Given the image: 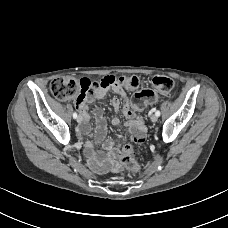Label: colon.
<instances>
[{
	"instance_id": "1",
	"label": "colon",
	"mask_w": 228,
	"mask_h": 228,
	"mask_svg": "<svg viewBox=\"0 0 228 228\" xmlns=\"http://www.w3.org/2000/svg\"><path fill=\"white\" fill-rule=\"evenodd\" d=\"M140 83L137 77H114L106 76L99 81H91L88 78H82L76 80L73 78H56L50 83L51 93L60 100H66L69 98H78L85 94H94L100 90H106L114 85H123L126 88H135ZM152 84L155 88L143 89L134 94L131 99V107L134 110H143L147 105L154 103L158 99L156 91L160 93H169L174 88V81L163 75L155 76L152 79ZM134 149L133 146L127 144L123 147L119 161L123 168L126 170L137 173L140 169L138 162L133 158Z\"/></svg>"
}]
</instances>
